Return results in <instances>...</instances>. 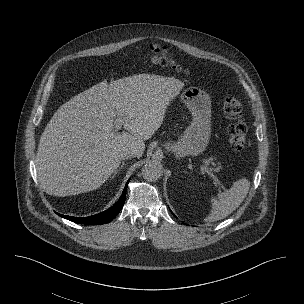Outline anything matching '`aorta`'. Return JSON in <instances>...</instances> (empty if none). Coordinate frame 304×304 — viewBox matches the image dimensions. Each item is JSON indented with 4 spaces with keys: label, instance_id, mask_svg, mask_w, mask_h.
Wrapping results in <instances>:
<instances>
[{
    "label": "aorta",
    "instance_id": "1",
    "mask_svg": "<svg viewBox=\"0 0 304 304\" xmlns=\"http://www.w3.org/2000/svg\"><path fill=\"white\" fill-rule=\"evenodd\" d=\"M142 176L147 181H156L162 176V166L157 161L147 162L141 169Z\"/></svg>",
    "mask_w": 304,
    "mask_h": 304
}]
</instances>
